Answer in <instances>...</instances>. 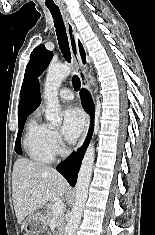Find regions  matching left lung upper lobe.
Returning a JSON list of instances; mask_svg holds the SVG:
<instances>
[{
  "label": "left lung upper lobe",
  "instance_id": "5c2ea615",
  "mask_svg": "<svg viewBox=\"0 0 155 235\" xmlns=\"http://www.w3.org/2000/svg\"><path fill=\"white\" fill-rule=\"evenodd\" d=\"M52 57L53 53L48 51L43 44L39 45L32 51L30 61L26 66L22 90L27 87L28 83L34 76L42 74L49 65Z\"/></svg>",
  "mask_w": 155,
  "mask_h": 235
}]
</instances>
